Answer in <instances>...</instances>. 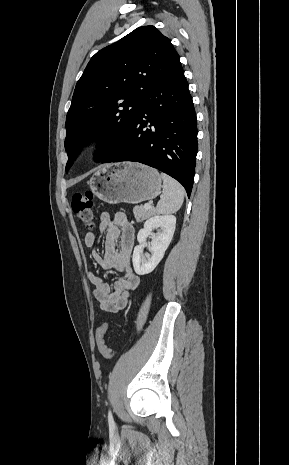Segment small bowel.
<instances>
[{
  "label": "small bowel",
  "mask_w": 289,
  "mask_h": 465,
  "mask_svg": "<svg viewBox=\"0 0 289 465\" xmlns=\"http://www.w3.org/2000/svg\"><path fill=\"white\" fill-rule=\"evenodd\" d=\"M99 235H105V251L100 255L96 250V235L89 232L84 236V244L93 249V257L105 270H116L121 278L111 290L104 277L87 272V277L94 285V296L105 312L116 313L127 305L130 294L140 283L139 276L131 265V252L134 244V228L123 213L111 216L102 212L97 227Z\"/></svg>",
  "instance_id": "1"
}]
</instances>
